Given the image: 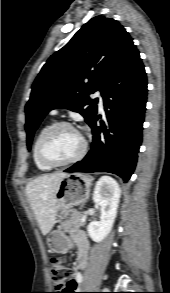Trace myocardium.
I'll return each mask as SVG.
<instances>
[{
    "label": "myocardium",
    "instance_id": "obj_1",
    "mask_svg": "<svg viewBox=\"0 0 170 293\" xmlns=\"http://www.w3.org/2000/svg\"><path fill=\"white\" fill-rule=\"evenodd\" d=\"M70 128L72 130H74L75 132L79 133V131L69 122H65V121H61V122H56L54 124H52L49 128H47L43 134L41 135V137L39 138L38 144H37V157L39 159V161L51 168H56V167H62V166H66L72 163L77 162L78 160H80L87 151V141L86 139L80 134L81 138H82V148L80 150V152L78 154H76L74 157L65 160V161H61V162H56V161H52L50 159H48L45 154H44V144L45 141L47 140V138L53 134L56 130L60 129V128Z\"/></svg>",
    "mask_w": 170,
    "mask_h": 293
}]
</instances>
